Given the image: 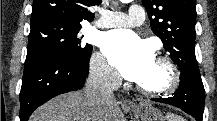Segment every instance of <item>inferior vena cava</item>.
<instances>
[{
  "instance_id": "602c4592",
  "label": "inferior vena cava",
  "mask_w": 217,
  "mask_h": 121,
  "mask_svg": "<svg viewBox=\"0 0 217 121\" xmlns=\"http://www.w3.org/2000/svg\"><path fill=\"white\" fill-rule=\"evenodd\" d=\"M119 85V77L105 63L91 68L84 89V96L87 103L92 107H100L113 102V91Z\"/></svg>"
}]
</instances>
